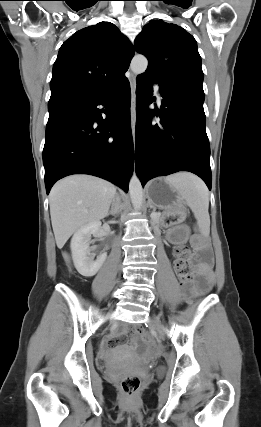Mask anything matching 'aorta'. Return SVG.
<instances>
[{
  "instance_id": "obj_1",
  "label": "aorta",
  "mask_w": 261,
  "mask_h": 427,
  "mask_svg": "<svg viewBox=\"0 0 261 427\" xmlns=\"http://www.w3.org/2000/svg\"><path fill=\"white\" fill-rule=\"evenodd\" d=\"M148 66V60L143 55H136L131 61V70L135 75H140L144 73ZM129 193L132 205L135 210L139 211L142 209L143 204V189L141 182L136 175L133 173L130 182H129Z\"/></svg>"
}]
</instances>
